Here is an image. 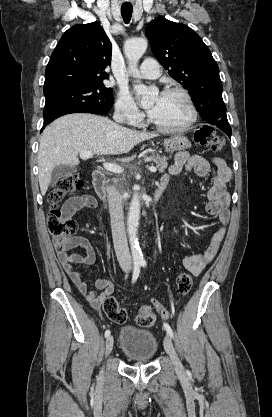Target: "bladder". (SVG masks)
Instances as JSON below:
<instances>
[{"label":"bladder","instance_id":"obj_1","mask_svg":"<svg viewBox=\"0 0 272 417\" xmlns=\"http://www.w3.org/2000/svg\"><path fill=\"white\" fill-rule=\"evenodd\" d=\"M120 346L125 357L136 363L150 362L158 350L155 336L135 327H124L121 330Z\"/></svg>","mask_w":272,"mask_h":417}]
</instances>
